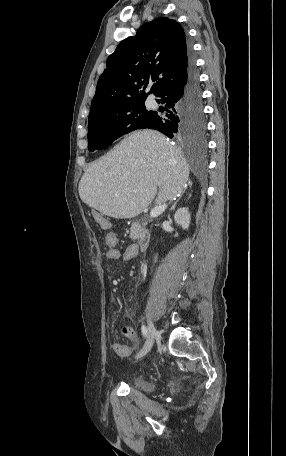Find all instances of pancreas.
I'll list each match as a JSON object with an SVG mask.
<instances>
[{"label": "pancreas", "instance_id": "obj_1", "mask_svg": "<svg viewBox=\"0 0 286 456\" xmlns=\"http://www.w3.org/2000/svg\"><path fill=\"white\" fill-rule=\"evenodd\" d=\"M141 229L139 224H132L130 227V238L134 241L140 238Z\"/></svg>", "mask_w": 286, "mask_h": 456}]
</instances>
